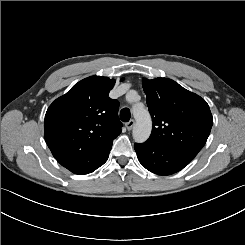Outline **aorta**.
I'll use <instances>...</instances> for the list:
<instances>
[{
  "mask_svg": "<svg viewBox=\"0 0 245 245\" xmlns=\"http://www.w3.org/2000/svg\"><path fill=\"white\" fill-rule=\"evenodd\" d=\"M133 116L136 120V124L133 128V138L137 143L145 142L152 130V120L148 110L143 107H134Z\"/></svg>",
  "mask_w": 245,
  "mask_h": 245,
  "instance_id": "1",
  "label": "aorta"
}]
</instances>
